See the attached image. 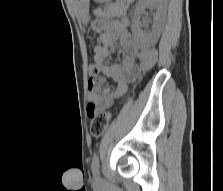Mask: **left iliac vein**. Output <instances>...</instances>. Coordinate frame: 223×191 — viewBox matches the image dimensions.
<instances>
[{"label":"left iliac vein","instance_id":"1","mask_svg":"<svg viewBox=\"0 0 223 191\" xmlns=\"http://www.w3.org/2000/svg\"><path fill=\"white\" fill-rule=\"evenodd\" d=\"M94 179L97 180V176L96 175L94 176Z\"/></svg>","mask_w":223,"mask_h":191}]
</instances>
